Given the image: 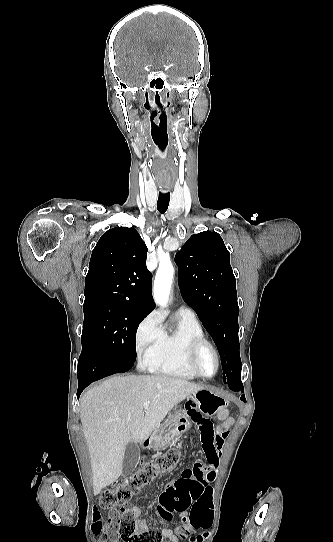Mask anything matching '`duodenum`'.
<instances>
[{"instance_id": "obj_1", "label": "duodenum", "mask_w": 333, "mask_h": 542, "mask_svg": "<svg viewBox=\"0 0 333 542\" xmlns=\"http://www.w3.org/2000/svg\"><path fill=\"white\" fill-rule=\"evenodd\" d=\"M152 444V439L150 437H146L142 440V445L144 448H149Z\"/></svg>"}]
</instances>
